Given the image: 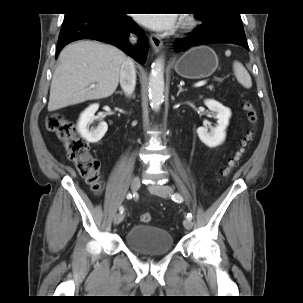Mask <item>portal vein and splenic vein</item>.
Instances as JSON below:
<instances>
[{
  "label": "portal vein and splenic vein",
  "mask_w": 303,
  "mask_h": 303,
  "mask_svg": "<svg viewBox=\"0 0 303 303\" xmlns=\"http://www.w3.org/2000/svg\"><path fill=\"white\" fill-rule=\"evenodd\" d=\"M205 84H206V81H199L194 86L195 87H201V86H204ZM90 87L94 88V87H96V85L95 84H91Z\"/></svg>",
  "instance_id": "18ae733b"
}]
</instances>
